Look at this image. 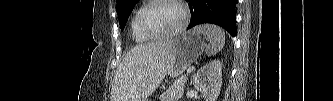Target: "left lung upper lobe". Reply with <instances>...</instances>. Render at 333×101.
<instances>
[{
  "mask_svg": "<svg viewBox=\"0 0 333 101\" xmlns=\"http://www.w3.org/2000/svg\"><path fill=\"white\" fill-rule=\"evenodd\" d=\"M138 0H117V14L120 28L123 29Z\"/></svg>",
  "mask_w": 333,
  "mask_h": 101,
  "instance_id": "5c2ea615",
  "label": "left lung upper lobe"
}]
</instances>
